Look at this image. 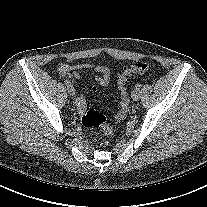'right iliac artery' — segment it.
<instances>
[{"label": "right iliac artery", "instance_id": "obj_1", "mask_svg": "<svg viewBox=\"0 0 207 207\" xmlns=\"http://www.w3.org/2000/svg\"><path fill=\"white\" fill-rule=\"evenodd\" d=\"M64 83H65L66 86L71 85L69 80H65Z\"/></svg>", "mask_w": 207, "mask_h": 207}]
</instances>
